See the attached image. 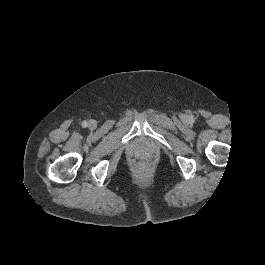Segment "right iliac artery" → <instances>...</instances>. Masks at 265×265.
<instances>
[{
    "label": "right iliac artery",
    "instance_id": "right-iliac-artery-1",
    "mask_svg": "<svg viewBox=\"0 0 265 265\" xmlns=\"http://www.w3.org/2000/svg\"><path fill=\"white\" fill-rule=\"evenodd\" d=\"M82 126L85 128V127H87V121H83L82 122Z\"/></svg>",
    "mask_w": 265,
    "mask_h": 265
}]
</instances>
